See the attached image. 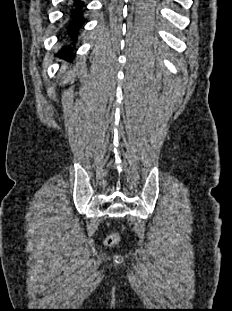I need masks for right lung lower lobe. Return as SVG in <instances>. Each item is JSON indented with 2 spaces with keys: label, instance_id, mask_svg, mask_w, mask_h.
I'll use <instances>...</instances> for the list:
<instances>
[{
  "label": "right lung lower lobe",
  "instance_id": "obj_1",
  "mask_svg": "<svg viewBox=\"0 0 232 311\" xmlns=\"http://www.w3.org/2000/svg\"><path fill=\"white\" fill-rule=\"evenodd\" d=\"M84 3L80 0H73L70 3L66 12L67 22L65 25L64 38L69 41V44L62 48L60 54L71 56L73 54V47L77 42V37L84 24L83 8Z\"/></svg>",
  "mask_w": 232,
  "mask_h": 311
}]
</instances>
